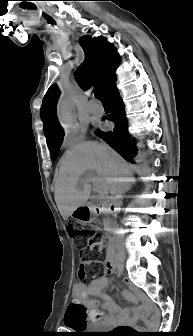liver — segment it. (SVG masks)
<instances>
[{"mask_svg": "<svg viewBox=\"0 0 193 336\" xmlns=\"http://www.w3.org/2000/svg\"><path fill=\"white\" fill-rule=\"evenodd\" d=\"M59 164L55 202L64 220L90 198L92 180L81 178L86 172L95 170L98 174L93 182L101 197L121 193L135 181L132 167L111 147L98 142L75 145L65 152Z\"/></svg>", "mask_w": 193, "mask_h": 336, "instance_id": "obj_1", "label": "liver"}]
</instances>
